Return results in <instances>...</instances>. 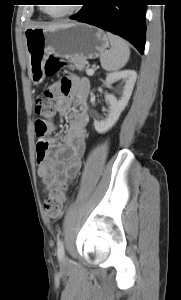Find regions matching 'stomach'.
<instances>
[{
	"instance_id": "stomach-1",
	"label": "stomach",
	"mask_w": 181,
	"mask_h": 300,
	"mask_svg": "<svg viewBox=\"0 0 181 300\" xmlns=\"http://www.w3.org/2000/svg\"><path fill=\"white\" fill-rule=\"evenodd\" d=\"M29 73L34 83L45 77L46 58H76L86 62L101 55L109 46L105 32L80 22H71L53 29L29 28L25 31Z\"/></svg>"
}]
</instances>
